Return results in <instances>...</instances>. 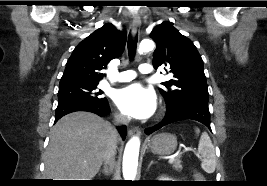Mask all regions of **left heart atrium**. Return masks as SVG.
I'll return each instance as SVG.
<instances>
[{
    "label": "left heart atrium",
    "instance_id": "1",
    "mask_svg": "<svg viewBox=\"0 0 267 186\" xmlns=\"http://www.w3.org/2000/svg\"><path fill=\"white\" fill-rule=\"evenodd\" d=\"M115 102L126 115L136 119H146L156 110L157 99L153 90L134 83L117 91Z\"/></svg>",
    "mask_w": 267,
    "mask_h": 186
}]
</instances>
